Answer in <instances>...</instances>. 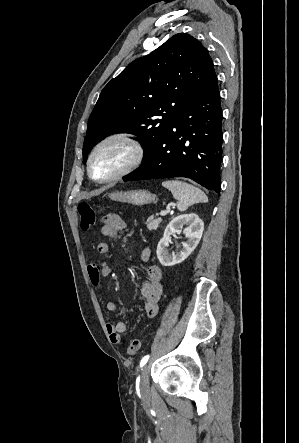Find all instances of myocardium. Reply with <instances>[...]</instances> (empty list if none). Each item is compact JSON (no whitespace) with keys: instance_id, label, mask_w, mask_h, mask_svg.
I'll use <instances>...</instances> for the list:
<instances>
[{"instance_id":"obj_1","label":"myocardium","mask_w":299,"mask_h":443,"mask_svg":"<svg viewBox=\"0 0 299 443\" xmlns=\"http://www.w3.org/2000/svg\"><path fill=\"white\" fill-rule=\"evenodd\" d=\"M112 142H120L126 145L130 151V157L128 161L116 172L113 174L104 177V178H96L92 173V164L93 161L98 154V152L107 144ZM145 155V150L142 142L140 139L128 132H117L110 134L104 138H102L100 141H98L94 147L92 148L88 160H87V174L89 178L99 184H105L112 181H115L119 178H122L126 176L127 174L131 173L135 169L139 167V165L142 163Z\"/></svg>"}]
</instances>
